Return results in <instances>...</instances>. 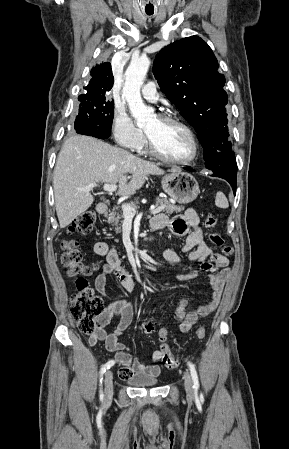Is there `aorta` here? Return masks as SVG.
<instances>
[{
  "label": "aorta",
  "instance_id": "1",
  "mask_svg": "<svg viewBox=\"0 0 289 449\" xmlns=\"http://www.w3.org/2000/svg\"><path fill=\"white\" fill-rule=\"evenodd\" d=\"M150 66V59L147 56L132 59L126 72L125 84L122 95L125 97L130 112L135 118L138 126H144L153 117L154 111L147 107L141 98L140 88Z\"/></svg>",
  "mask_w": 289,
  "mask_h": 449
}]
</instances>
